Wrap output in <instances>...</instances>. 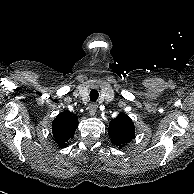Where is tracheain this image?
<instances>
[{
	"label": "trachea",
	"instance_id": "3493384b",
	"mask_svg": "<svg viewBox=\"0 0 194 194\" xmlns=\"http://www.w3.org/2000/svg\"><path fill=\"white\" fill-rule=\"evenodd\" d=\"M98 97H99L98 90H97V89H92V90L90 91V100H91L92 102H96L97 99H98Z\"/></svg>",
	"mask_w": 194,
	"mask_h": 194
}]
</instances>
